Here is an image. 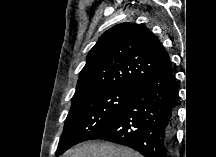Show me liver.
Returning <instances> with one entry per match:
<instances>
[{
  "mask_svg": "<svg viewBox=\"0 0 216 157\" xmlns=\"http://www.w3.org/2000/svg\"><path fill=\"white\" fill-rule=\"evenodd\" d=\"M65 157H141L134 150L108 142H92L69 150Z\"/></svg>",
  "mask_w": 216,
  "mask_h": 157,
  "instance_id": "6515ba94",
  "label": "liver"
}]
</instances>
